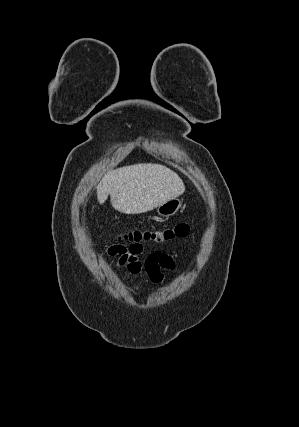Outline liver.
<instances>
[{
  "label": "liver",
  "mask_w": 299,
  "mask_h": 427,
  "mask_svg": "<svg viewBox=\"0 0 299 427\" xmlns=\"http://www.w3.org/2000/svg\"><path fill=\"white\" fill-rule=\"evenodd\" d=\"M184 191V183L174 171L160 164L141 163L109 171L97 186V199L103 204L110 195L119 212L140 214Z\"/></svg>",
  "instance_id": "obj_1"
}]
</instances>
